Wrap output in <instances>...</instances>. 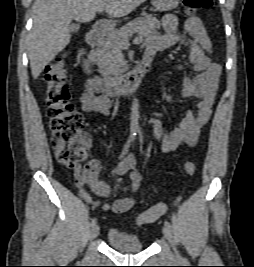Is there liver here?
<instances>
[{"label":"liver","mask_w":254,"mask_h":267,"mask_svg":"<svg viewBox=\"0 0 254 267\" xmlns=\"http://www.w3.org/2000/svg\"><path fill=\"white\" fill-rule=\"evenodd\" d=\"M146 0H36L33 26L28 39L31 73L37 79L50 61L70 42L69 25L74 19L90 22L98 7L112 17H124Z\"/></svg>","instance_id":"obj_1"}]
</instances>
